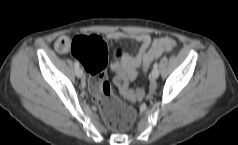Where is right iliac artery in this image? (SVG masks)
<instances>
[{"label": "right iliac artery", "instance_id": "right-iliac-artery-1", "mask_svg": "<svg viewBox=\"0 0 238 145\" xmlns=\"http://www.w3.org/2000/svg\"><path fill=\"white\" fill-rule=\"evenodd\" d=\"M74 64H75L76 68L79 67V62L78 61H75Z\"/></svg>", "mask_w": 238, "mask_h": 145}]
</instances>
